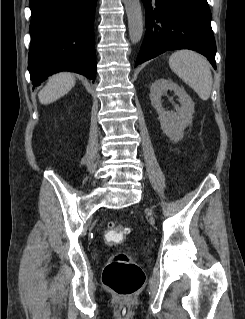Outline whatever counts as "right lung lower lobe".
<instances>
[{
  "instance_id": "obj_1",
  "label": "right lung lower lobe",
  "mask_w": 245,
  "mask_h": 319,
  "mask_svg": "<svg viewBox=\"0 0 245 319\" xmlns=\"http://www.w3.org/2000/svg\"><path fill=\"white\" fill-rule=\"evenodd\" d=\"M97 0H30L28 70L33 86L59 71L95 80L94 15Z\"/></svg>"
}]
</instances>
